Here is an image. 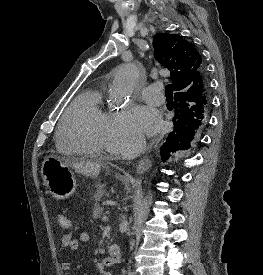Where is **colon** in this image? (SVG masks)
<instances>
[{"mask_svg":"<svg viewBox=\"0 0 263 275\" xmlns=\"http://www.w3.org/2000/svg\"><path fill=\"white\" fill-rule=\"evenodd\" d=\"M57 220L59 226L64 230H68L72 226L71 219L65 214H59Z\"/></svg>","mask_w":263,"mask_h":275,"instance_id":"1","label":"colon"}]
</instances>
